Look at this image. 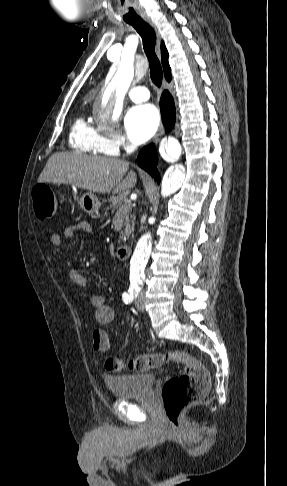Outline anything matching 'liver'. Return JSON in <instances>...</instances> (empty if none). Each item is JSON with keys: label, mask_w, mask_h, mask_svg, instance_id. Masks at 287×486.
<instances>
[{"label": "liver", "mask_w": 287, "mask_h": 486, "mask_svg": "<svg viewBox=\"0 0 287 486\" xmlns=\"http://www.w3.org/2000/svg\"><path fill=\"white\" fill-rule=\"evenodd\" d=\"M128 168L129 163L121 159L60 152L49 158L38 182L74 185L97 193L113 191L116 194L135 187L137 183L136 173L133 170L127 173Z\"/></svg>", "instance_id": "1"}]
</instances>
